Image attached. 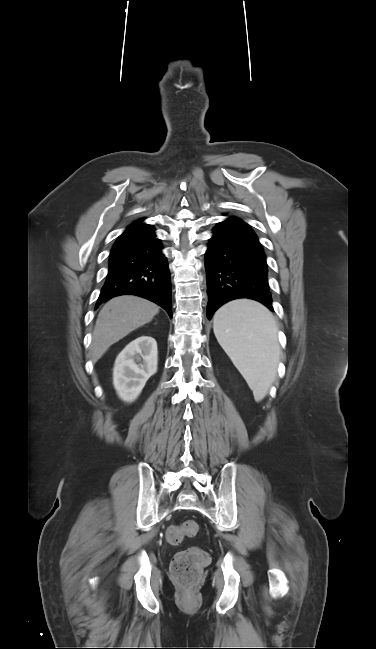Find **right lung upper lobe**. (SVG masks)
Listing matches in <instances>:
<instances>
[{
  "instance_id": "1",
  "label": "right lung upper lobe",
  "mask_w": 376,
  "mask_h": 649,
  "mask_svg": "<svg viewBox=\"0 0 376 649\" xmlns=\"http://www.w3.org/2000/svg\"><path fill=\"white\" fill-rule=\"evenodd\" d=\"M143 220H144V218L140 219V220L134 222L133 224H131L130 226H128V228L120 235V237L127 236V235H130V234H134V233H137V232H140V231H144V230H148V229L153 228V226H151V225L143 224L142 223Z\"/></svg>"
}]
</instances>
